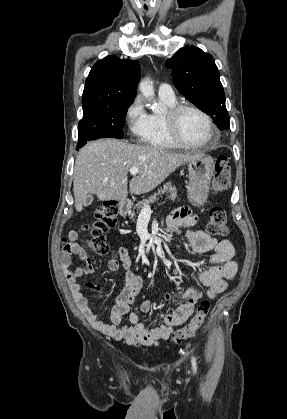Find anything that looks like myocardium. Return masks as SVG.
<instances>
[{
  "mask_svg": "<svg viewBox=\"0 0 287 419\" xmlns=\"http://www.w3.org/2000/svg\"><path fill=\"white\" fill-rule=\"evenodd\" d=\"M185 110L195 111L205 119L210 130V136L206 141L199 144H193L185 141L182 138L178 130V118L180 114ZM164 123L169 136L181 147L192 149L204 148L216 142L219 137L216 125L214 124L209 114L194 104L181 103L168 108L167 112L164 114Z\"/></svg>",
  "mask_w": 287,
  "mask_h": 419,
  "instance_id": "obj_1",
  "label": "myocardium"
}]
</instances>
